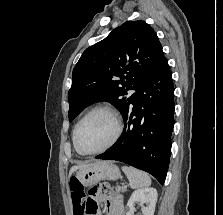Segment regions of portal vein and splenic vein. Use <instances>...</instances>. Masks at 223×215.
<instances>
[{"instance_id":"1","label":"portal vein and splenic vein","mask_w":223,"mask_h":215,"mask_svg":"<svg viewBox=\"0 0 223 215\" xmlns=\"http://www.w3.org/2000/svg\"><path fill=\"white\" fill-rule=\"evenodd\" d=\"M121 186H122V190H127V185H125V184L123 183Z\"/></svg>"}]
</instances>
